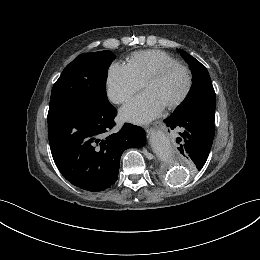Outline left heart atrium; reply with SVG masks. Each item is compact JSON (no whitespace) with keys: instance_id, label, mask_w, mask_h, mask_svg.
I'll list each match as a JSON object with an SVG mask.
<instances>
[{"instance_id":"1","label":"left heart atrium","mask_w":260,"mask_h":260,"mask_svg":"<svg viewBox=\"0 0 260 260\" xmlns=\"http://www.w3.org/2000/svg\"><path fill=\"white\" fill-rule=\"evenodd\" d=\"M163 108L150 93L145 92L121 110V117L136 123L147 122L159 115Z\"/></svg>"}]
</instances>
